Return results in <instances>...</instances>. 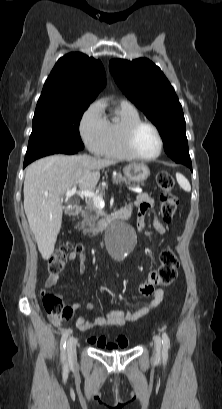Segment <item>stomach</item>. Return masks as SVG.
I'll return each mask as SVG.
<instances>
[{
  "label": "stomach",
  "instance_id": "0dacf381",
  "mask_svg": "<svg viewBox=\"0 0 222 409\" xmlns=\"http://www.w3.org/2000/svg\"><path fill=\"white\" fill-rule=\"evenodd\" d=\"M123 172L133 182H143L150 175L149 168L143 163H131L123 169Z\"/></svg>",
  "mask_w": 222,
  "mask_h": 409
}]
</instances>
